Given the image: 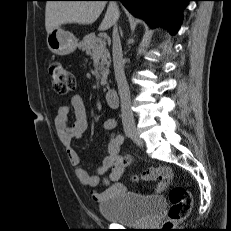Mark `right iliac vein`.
<instances>
[{"instance_id":"right-iliac-vein-1","label":"right iliac vein","mask_w":231,"mask_h":231,"mask_svg":"<svg viewBox=\"0 0 231 231\" xmlns=\"http://www.w3.org/2000/svg\"><path fill=\"white\" fill-rule=\"evenodd\" d=\"M126 135L131 138L138 146H143V140L140 138L138 132L133 128L125 130Z\"/></svg>"}]
</instances>
